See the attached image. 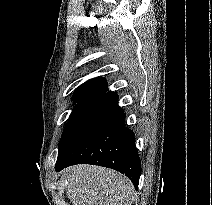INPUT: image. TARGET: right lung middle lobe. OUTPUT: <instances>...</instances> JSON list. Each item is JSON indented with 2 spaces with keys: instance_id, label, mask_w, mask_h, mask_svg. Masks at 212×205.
Wrapping results in <instances>:
<instances>
[{
  "instance_id": "right-lung-middle-lobe-1",
  "label": "right lung middle lobe",
  "mask_w": 212,
  "mask_h": 205,
  "mask_svg": "<svg viewBox=\"0 0 212 205\" xmlns=\"http://www.w3.org/2000/svg\"><path fill=\"white\" fill-rule=\"evenodd\" d=\"M101 97H90L78 101V104L73 109L69 122L67 123L61 138V142L59 144V153L58 157L61 156L64 151L68 148L70 143L73 141L75 136L81 130V128L85 125L91 115L97 108V105L100 102Z\"/></svg>"
}]
</instances>
